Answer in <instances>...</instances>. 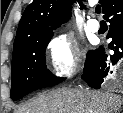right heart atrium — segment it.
I'll list each match as a JSON object with an SVG mask.
<instances>
[{"label": "right heart atrium", "instance_id": "1", "mask_svg": "<svg viewBox=\"0 0 123 113\" xmlns=\"http://www.w3.org/2000/svg\"><path fill=\"white\" fill-rule=\"evenodd\" d=\"M47 50L52 71L62 81L72 76L82 61L81 46L70 32L55 35Z\"/></svg>", "mask_w": 123, "mask_h": 113}]
</instances>
